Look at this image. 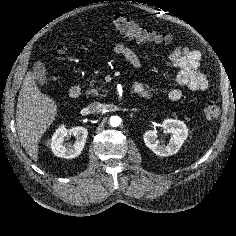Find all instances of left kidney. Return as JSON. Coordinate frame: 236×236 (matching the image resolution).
<instances>
[{"instance_id":"1","label":"left kidney","mask_w":236,"mask_h":236,"mask_svg":"<svg viewBox=\"0 0 236 236\" xmlns=\"http://www.w3.org/2000/svg\"><path fill=\"white\" fill-rule=\"evenodd\" d=\"M162 128L172 134L169 143L160 144L157 140L158 132L149 130L143 135L146 146L158 156L167 157L176 154L188 137L187 125L180 120L166 119L163 121Z\"/></svg>"}]
</instances>
